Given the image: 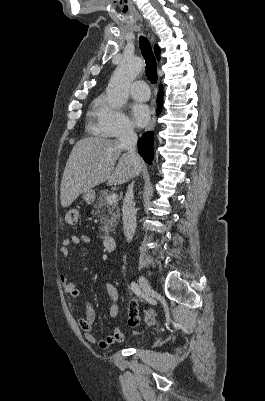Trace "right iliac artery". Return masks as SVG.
I'll list each match as a JSON object with an SVG mask.
<instances>
[{
	"label": "right iliac artery",
	"instance_id": "1",
	"mask_svg": "<svg viewBox=\"0 0 265 401\" xmlns=\"http://www.w3.org/2000/svg\"><path fill=\"white\" fill-rule=\"evenodd\" d=\"M130 287H131L132 291L136 295H140L141 294V289H140L139 285L136 282H131Z\"/></svg>",
	"mask_w": 265,
	"mask_h": 401
}]
</instances>
